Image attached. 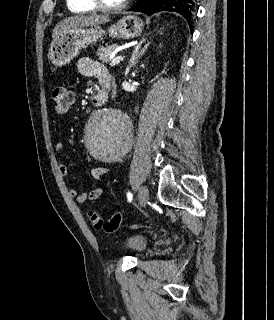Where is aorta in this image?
<instances>
[{"mask_svg": "<svg viewBox=\"0 0 274 320\" xmlns=\"http://www.w3.org/2000/svg\"><path fill=\"white\" fill-rule=\"evenodd\" d=\"M132 142V123L120 109L107 107L95 111L84 132L85 147L95 159L116 161Z\"/></svg>", "mask_w": 274, "mask_h": 320, "instance_id": "aorta-1", "label": "aorta"}]
</instances>
